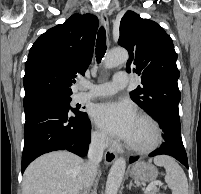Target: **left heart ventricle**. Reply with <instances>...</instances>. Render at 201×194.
I'll return each instance as SVG.
<instances>
[{"mask_svg":"<svg viewBox=\"0 0 201 194\" xmlns=\"http://www.w3.org/2000/svg\"><path fill=\"white\" fill-rule=\"evenodd\" d=\"M153 140L154 132L152 127L147 122L137 118L127 142L137 146H148Z\"/></svg>","mask_w":201,"mask_h":194,"instance_id":"b2bd125f","label":"left heart ventricle"}]
</instances>
